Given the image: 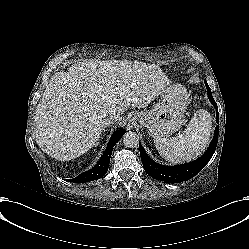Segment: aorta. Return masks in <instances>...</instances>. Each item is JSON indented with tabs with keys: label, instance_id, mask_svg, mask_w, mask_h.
Instances as JSON below:
<instances>
[{
	"label": "aorta",
	"instance_id": "obj_1",
	"mask_svg": "<svg viewBox=\"0 0 249 249\" xmlns=\"http://www.w3.org/2000/svg\"><path fill=\"white\" fill-rule=\"evenodd\" d=\"M123 143L128 148L137 147V145L139 143V137L134 132H131V131L126 132L123 135Z\"/></svg>",
	"mask_w": 249,
	"mask_h": 249
}]
</instances>
